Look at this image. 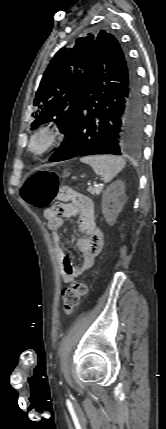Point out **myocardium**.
Masks as SVG:
<instances>
[{"label": "myocardium", "instance_id": "obj_1", "mask_svg": "<svg viewBox=\"0 0 166 429\" xmlns=\"http://www.w3.org/2000/svg\"><path fill=\"white\" fill-rule=\"evenodd\" d=\"M59 137L58 126L52 122L45 123L31 132L26 146L27 151L33 156H43L57 144Z\"/></svg>", "mask_w": 166, "mask_h": 429}]
</instances>
